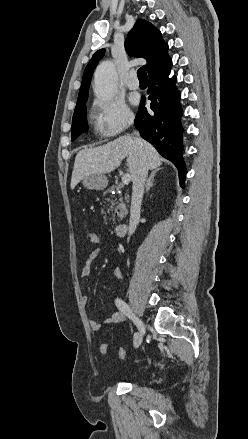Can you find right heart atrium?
Returning <instances> with one entry per match:
<instances>
[{
	"mask_svg": "<svg viewBox=\"0 0 248 439\" xmlns=\"http://www.w3.org/2000/svg\"><path fill=\"white\" fill-rule=\"evenodd\" d=\"M92 121L104 138L118 136L134 121V114L120 98L96 99L92 105Z\"/></svg>",
	"mask_w": 248,
	"mask_h": 439,
	"instance_id": "d8ad5b80",
	"label": "right heart atrium"
}]
</instances>
